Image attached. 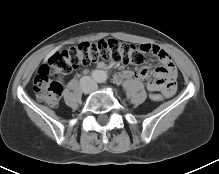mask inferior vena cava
I'll list each match as a JSON object with an SVG mask.
<instances>
[{
  "label": "inferior vena cava",
  "instance_id": "obj_1",
  "mask_svg": "<svg viewBox=\"0 0 219 174\" xmlns=\"http://www.w3.org/2000/svg\"><path fill=\"white\" fill-rule=\"evenodd\" d=\"M80 84L86 93H90L97 89V83L90 76L82 77Z\"/></svg>",
  "mask_w": 219,
  "mask_h": 174
}]
</instances>
